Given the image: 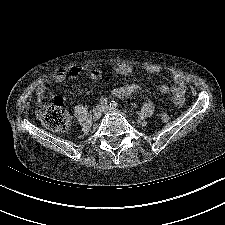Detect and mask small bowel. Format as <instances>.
I'll return each instance as SVG.
<instances>
[{
	"label": "small bowel",
	"mask_w": 225,
	"mask_h": 225,
	"mask_svg": "<svg viewBox=\"0 0 225 225\" xmlns=\"http://www.w3.org/2000/svg\"><path fill=\"white\" fill-rule=\"evenodd\" d=\"M82 69L80 67L74 66L69 68L68 70L65 69H59L57 70L54 75L53 79L56 82H63L68 75L72 76H77L81 73ZM115 72L118 75L122 76H129L132 74V69L128 65H119L118 67L115 68ZM155 72V71H153ZM88 76L92 80H99L101 78V72L99 70H91L88 73ZM175 85L169 87L167 85H162L160 87V91L162 93H168L171 92L174 96V104L177 106H181L184 103L185 100V85L183 80L176 76L174 78ZM139 90V87L136 84H127V85H122L119 87H116L113 90V95L118 97V98H127L131 96L132 94L136 93ZM45 92H46V84L45 83H40L35 91L36 94V99L38 103H43L44 97H45Z\"/></svg>",
	"instance_id": "obj_1"
}]
</instances>
